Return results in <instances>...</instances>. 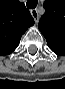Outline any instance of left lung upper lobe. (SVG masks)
<instances>
[{"label":"left lung upper lobe","mask_w":65,"mask_h":89,"mask_svg":"<svg viewBox=\"0 0 65 89\" xmlns=\"http://www.w3.org/2000/svg\"><path fill=\"white\" fill-rule=\"evenodd\" d=\"M38 27L48 45L65 47V0H45Z\"/></svg>","instance_id":"1"}]
</instances>
